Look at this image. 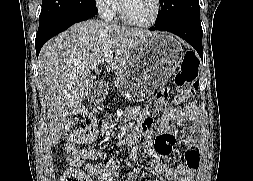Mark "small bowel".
<instances>
[{
    "mask_svg": "<svg viewBox=\"0 0 253 181\" xmlns=\"http://www.w3.org/2000/svg\"><path fill=\"white\" fill-rule=\"evenodd\" d=\"M186 100L187 96L184 93L175 94L172 99V106L164 108L156 125L152 124V118L148 110L133 107L124 111L126 120L135 119L137 121L129 138V143L134 146L141 138L145 139L146 146L155 143L158 157L150 162V166L157 174L165 176L168 181H194L199 167L200 123L197 118L198 108L195 102H189L185 107H182ZM174 122L179 124L189 122L191 126L189 127V136L183 141L186 147L185 162L169 166L166 158L171 154L175 144ZM114 127L113 120H104L101 128L102 136H110L114 131ZM101 157L102 154L93 149H71L69 164L76 172L85 175L87 181H93L94 179L96 181H116L122 178L120 174L121 162L110 160L105 163H97ZM84 161L86 163L81 168ZM137 174V165L129 163L126 176L123 179L124 181H136Z\"/></svg>",
    "mask_w": 253,
    "mask_h": 181,
    "instance_id": "1",
    "label": "small bowel"
}]
</instances>
